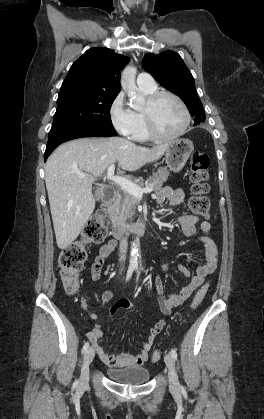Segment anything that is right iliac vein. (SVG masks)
I'll return each instance as SVG.
<instances>
[{
  "label": "right iliac vein",
  "mask_w": 264,
  "mask_h": 419,
  "mask_svg": "<svg viewBox=\"0 0 264 419\" xmlns=\"http://www.w3.org/2000/svg\"><path fill=\"white\" fill-rule=\"evenodd\" d=\"M95 356L94 349L91 347L89 348L84 355L83 360V367H82V373H81V385H86L88 383L89 379V365L93 361Z\"/></svg>",
  "instance_id": "obj_1"
}]
</instances>
